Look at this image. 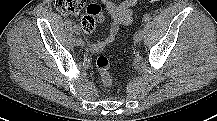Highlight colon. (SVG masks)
Returning a JSON list of instances; mask_svg holds the SVG:
<instances>
[{
  "instance_id": "1",
  "label": "colon",
  "mask_w": 217,
  "mask_h": 121,
  "mask_svg": "<svg viewBox=\"0 0 217 121\" xmlns=\"http://www.w3.org/2000/svg\"><path fill=\"white\" fill-rule=\"evenodd\" d=\"M147 1L155 3L160 0ZM54 6L58 11L66 15H76L85 9L86 14L81 20V26L85 33L93 32L97 24L104 18L102 7L96 3L87 4V0H54ZM95 66L100 75L103 86L106 88L111 87L112 76L108 58L105 56H98L95 61Z\"/></svg>"
}]
</instances>
